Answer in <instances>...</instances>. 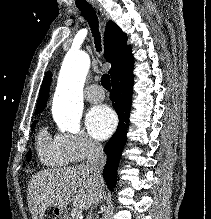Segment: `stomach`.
I'll list each match as a JSON object with an SVG mask.
<instances>
[{"label":"stomach","mask_w":211,"mask_h":219,"mask_svg":"<svg viewBox=\"0 0 211 219\" xmlns=\"http://www.w3.org/2000/svg\"><path fill=\"white\" fill-rule=\"evenodd\" d=\"M54 213L56 215L62 216L64 214V210L59 209V208H55Z\"/></svg>","instance_id":"0dacf381"}]
</instances>
